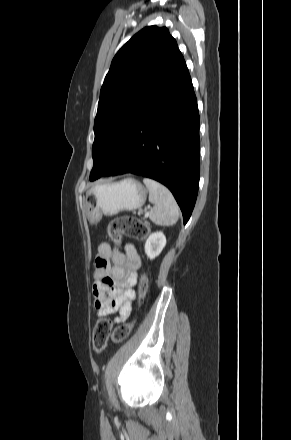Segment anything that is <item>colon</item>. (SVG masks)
<instances>
[{
  "label": "colon",
  "instance_id": "1",
  "mask_svg": "<svg viewBox=\"0 0 291 440\" xmlns=\"http://www.w3.org/2000/svg\"><path fill=\"white\" fill-rule=\"evenodd\" d=\"M126 234L134 239H145L148 234V226L140 219L125 215L113 219L108 227V235L112 242L119 244L121 237ZM148 287L146 277H142L140 281V294L144 296ZM133 327V323H126L119 325L113 331L112 338L119 342L126 339ZM110 335L109 319L106 317L100 318L96 323L92 332V346L95 352L101 353L108 342Z\"/></svg>",
  "mask_w": 291,
  "mask_h": 440
}]
</instances>
